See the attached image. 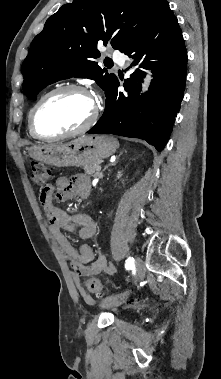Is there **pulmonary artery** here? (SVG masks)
<instances>
[{"mask_svg": "<svg viewBox=\"0 0 221 379\" xmlns=\"http://www.w3.org/2000/svg\"><path fill=\"white\" fill-rule=\"evenodd\" d=\"M112 58L120 66H124L125 65L126 58H125V56L123 54H121L119 52H114L112 54Z\"/></svg>", "mask_w": 221, "mask_h": 379, "instance_id": "obj_1", "label": "pulmonary artery"}]
</instances>
